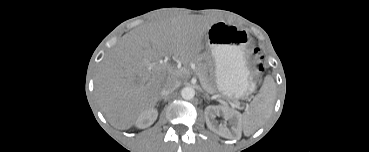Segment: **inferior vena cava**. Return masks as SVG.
I'll list each match as a JSON object with an SVG mask.
<instances>
[{
	"label": "inferior vena cava",
	"mask_w": 369,
	"mask_h": 152,
	"mask_svg": "<svg viewBox=\"0 0 369 152\" xmlns=\"http://www.w3.org/2000/svg\"><path fill=\"white\" fill-rule=\"evenodd\" d=\"M179 86V81L167 80L160 92L161 97L167 96Z\"/></svg>",
	"instance_id": "602c4592"
}]
</instances>
